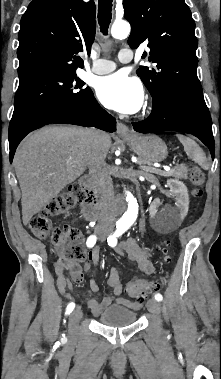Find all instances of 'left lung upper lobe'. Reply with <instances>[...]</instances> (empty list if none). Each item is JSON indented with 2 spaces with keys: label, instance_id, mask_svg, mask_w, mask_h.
<instances>
[{
  "label": "left lung upper lobe",
  "instance_id": "1",
  "mask_svg": "<svg viewBox=\"0 0 221 379\" xmlns=\"http://www.w3.org/2000/svg\"><path fill=\"white\" fill-rule=\"evenodd\" d=\"M131 48L148 42V61L137 74L154 98L161 92L203 98L197 77L195 22L184 0H123ZM143 54V58L146 57Z\"/></svg>",
  "mask_w": 221,
  "mask_h": 379
}]
</instances>
